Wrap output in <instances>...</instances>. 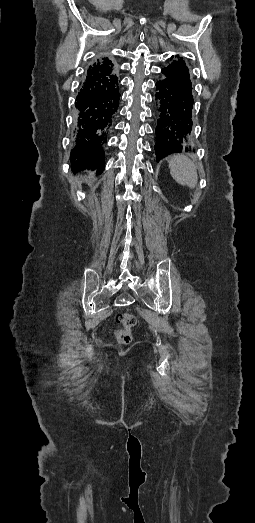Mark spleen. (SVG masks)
<instances>
[{
	"mask_svg": "<svg viewBox=\"0 0 255 523\" xmlns=\"http://www.w3.org/2000/svg\"><path fill=\"white\" fill-rule=\"evenodd\" d=\"M170 168V174L178 184L181 186H189V188H195L197 184V172L196 168L187 156H173L168 162Z\"/></svg>",
	"mask_w": 255,
	"mask_h": 523,
	"instance_id": "3e777b00",
	"label": "spleen"
}]
</instances>
